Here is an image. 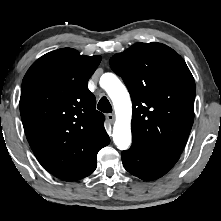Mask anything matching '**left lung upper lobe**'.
Returning a JSON list of instances; mask_svg holds the SVG:
<instances>
[{
  "mask_svg": "<svg viewBox=\"0 0 221 221\" xmlns=\"http://www.w3.org/2000/svg\"><path fill=\"white\" fill-rule=\"evenodd\" d=\"M109 63L131 95L133 140L180 155L192 128L196 91L183 58L161 43H136Z\"/></svg>",
  "mask_w": 221,
  "mask_h": 221,
  "instance_id": "5c2ea615",
  "label": "left lung upper lobe"
}]
</instances>
